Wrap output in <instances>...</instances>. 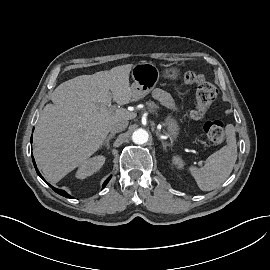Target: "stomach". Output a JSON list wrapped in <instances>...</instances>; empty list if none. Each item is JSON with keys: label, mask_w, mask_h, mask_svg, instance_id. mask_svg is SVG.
Returning a JSON list of instances; mask_svg holds the SVG:
<instances>
[{"label": "stomach", "mask_w": 270, "mask_h": 270, "mask_svg": "<svg viewBox=\"0 0 270 270\" xmlns=\"http://www.w3.org/2000/svg\"><path fill=\"white\" fill-rule=\"evenodd\" d=\"M163 77L167 79H176L179 76V69L177 67H167L162 71ZM133 83L131 90L133 92V99L138 100L149 94L160 78L159 69L150 62H138L132 69ZM165 125L169 135L172 138L178 135V125L176 121L168 117Z\"/></svg>", "instance_id": "obj_1"}]
</instances>
